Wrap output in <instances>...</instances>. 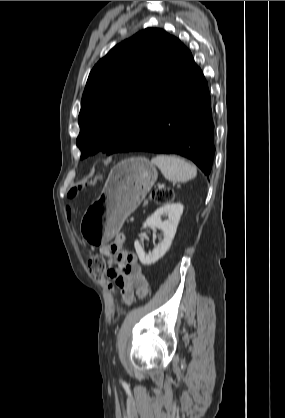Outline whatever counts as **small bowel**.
<instances>
[{"mask_svg":"<svg viewBox=\"0 0 285 418\" xmlns=\"http://www.w3.org/2000/svg\"><path fill=\"white\" fill-rule=\"evenodd\" d=\"M123 235L118 234L114 240L101 248V253L108 258L107 275L114 279L124 300H131L134 295L144 297L149 291V283L142 273L134 252L120 251ZM116 256L118 265H113L111 259Z\"/></svg>","mask_w":285,"mask_h":418,"instance_id":"1","label":"small bowel"}]
</instances>
